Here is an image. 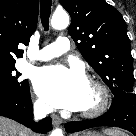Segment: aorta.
I'll return each mask as SVG.
<instances>
[{"label": "aorta", "instance_id": "aorta-1", "mask_svg": "<svg viewBox=\"0 0 136 136\" xmlns=\"http://www.w3.org/2000/svg\"><path fill=\"white\" fill-rule=\"evenodd\" d=\"M69 25V15L65 11H56L51 18V26L54 29H64ZM50 136H63L60 128L52 131Z\"/></svg>", "mask_w": 136, "mask_h": 136}]
</instances>
